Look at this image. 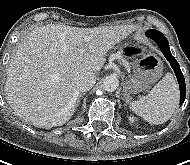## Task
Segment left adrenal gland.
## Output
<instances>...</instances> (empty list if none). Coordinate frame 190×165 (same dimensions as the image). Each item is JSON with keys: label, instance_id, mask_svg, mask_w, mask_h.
I'll return each mask as SVG.
<instances>
[{"label": "left adrenal gland", "instance_id": "1", "mask_svg": "<svg viewBox=\"0 0 190 165\" xmlns=\"http://www.w3.org/2000/svg\"><path fill=\"white\" fill-rule=\"evenodd\" d=\"M123 92H124V100H125V104L128 105V104L131 103V97H130V95H129V93H128V89H127L126 86L124 87Z\"/></svg>", "mask_w": 190, "mask_h": 165}]
</instances>
